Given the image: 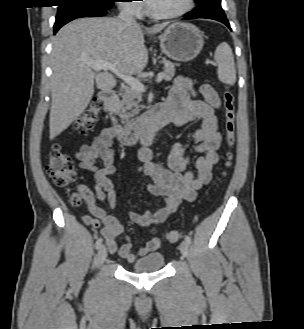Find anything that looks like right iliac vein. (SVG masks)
Returning a JSON list of instances; mask_svg holds the SVG:
<instances>
[{"label": "right iliac vein", "mask_w": 304, "mask_h": 329, "mask_svg": "<svg viewBox=\"0 0 304 329\" xmlns=\"http://www.w3.org/2000/svg\"><path fill=\"white\" fill-rule=\"evenodd\" d=\"M106 256H107V248L105 245H102L99 248L98 255H97V262L99 265H101L105 261Z\"/></svg>", "instance_id": "right-iliac-vein-1"}]
</instances>
